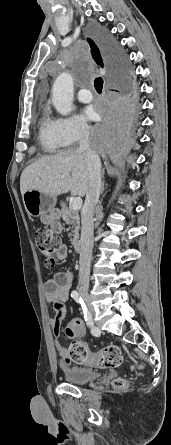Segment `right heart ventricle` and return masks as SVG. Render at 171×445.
I'll return each mask as SVG.
<instances>
[{
	"mask_svg": "<svg viewBox=\"0 0 171 445\" xmlns=\"http://www.w3.org/2000/svg\"><path fill=\"white\" fill-rule=\"evenodd\" d=\"M39 142L46 152H56L65 145L58 134L55 121L47 116L39 124Z\"/></svg>",
	"mask_w": 171,
	"mask_h": 445,
	"instance_id": "obj_1",
	"label": "right heart ventricle"
}]
</instances>
